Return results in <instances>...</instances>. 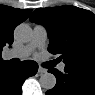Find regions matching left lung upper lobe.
Instances as JSON below:
<instances>
[{
  "label": "left lung upper lobe",
  "instance_id": "5c2ea615",
  "mask_svg": "<svg viewBox=\"0 0 95 95\" xmlns=\"http://www.w3.org/2000/svg\"><path fill=\"white\" fill-rule=\"evenodd\" d=\"M31 22L48 31V51L60 54L66 65L95 70V15L74 6L36 9Z\"/></svg>",
  "mask_w": 95,
  "mask_h": 95
}]
</instances>
